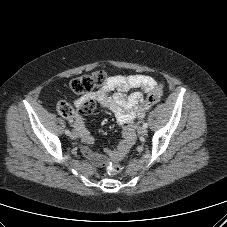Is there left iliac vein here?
I'll use <instances>...</instances> for the list:
<instances>
[{"mask_svg":"<svg viewBox=\"0 0 227 227\" xmlns=\"http://www.w3.org/2000/svg\"><path fill=\"white\" fill-rule=\"evenodd\" d=\"M138 133H139V135H141V136H145V135L147 134V129H146L145 127H140V128L138 129Z\"/></svg>","mask_w":227,"mask_h":227,"instance_id":"obj_1","label":"left iliac vein"}]
</instances>
